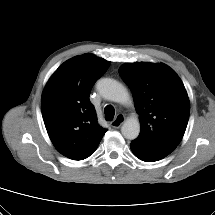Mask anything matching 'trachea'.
<instances>
[{
    "mask_svg": "<svg viewBox=\"0 0 215 215\" xmlns=\"http://www.w3.org/2000/svg\"><path fill=\"white\" fill-rule=\"evenodd\" d=\"M104 113L107 121H112L115 115V109L111 105H107L104 108Z\"/></svg>",
    "mask_w": 215,
    "mask_h": 215,
    "instance_id": "trachea-1",
    "label": "trachea"
}]
</instances>
